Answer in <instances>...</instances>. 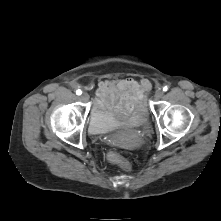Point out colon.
<instances>
[{
	"label": "colon",
	"instance_id": "5ec220e1",
	"mask_svg": "<svg viewBox=\"0 0 221 221\" xmlns=\"http://www.w3.org/2000/svg\"><path fill=\"white\" fill-rule=\"evenodd\" d=\"M108 159L111 162L121 166L125 171L131 170L130 163L125 158H123L119 153H117L116 151L109 152Z\"/></svg>",
	"mask_w": 221,
	"mask_h": 221
}]
</instances>
